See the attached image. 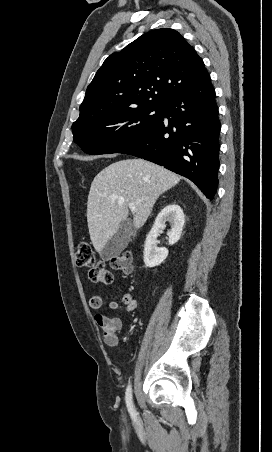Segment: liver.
<instances>
[{"mask_svg": "<svg viewBox=\"0 0 272 452\" xmlns=\"http://www.w3.org/2000/svg\"><path fill=\"white\" fill-rule=\"evenodd\" d=\"M180 177L144 159H125L110 164L94 178L87 201V223L92 244L101 253L135 203L133 224L141 228L156 200L175 186Z\"/></svg>", "mask_w": 272, "mask_h": 452, "instance_id": "liver-1", "label": "liver"}]
</instances>
